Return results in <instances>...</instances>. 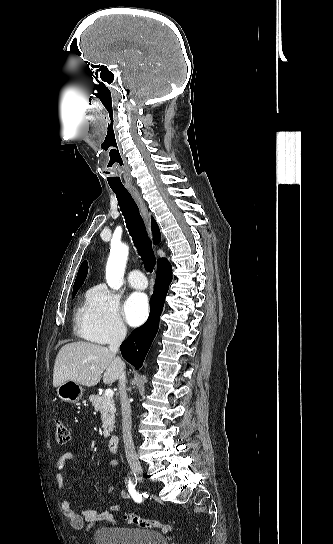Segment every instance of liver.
<instances>
[{"instance_id":"liver-1","label":"liver","mask_w":333,"mask_h":544,"mask_svg":"<svg viewBox=\"0 0 333 544\" xmlns=\"http://www.w3.org/2000/svg\"><path fill=\"white\" fill-rule=\"evenodd\" d=\"M124 362L112 354L107 347L77 341L64 345L58 352L53 373V386L72 380L91 387L103 382L111 384L119 377Z\"/></svg>"}]
</instances>
